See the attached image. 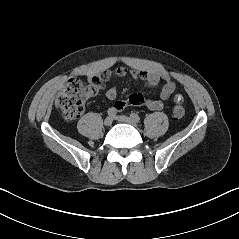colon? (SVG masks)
I'll list each match as a JSON object with an SVG mask.
<instances>
[{
  "label": "colon",
  "instance_id": "5ec220e1",
  "mask_svg": "<svg viewBox=\"0 0 239 239\" xmlns=\"http://www.w3.org/2000/svg\"><path fill=\"white\" fill-rule=\"evenodd\" d=\"M103 82L98 83L101 87ZM91 86L86 85L80 79L71 78L68 80L65 89L56 99V107L61 112L66 121L76 120L83 112L84 102L90 95ZM185 114L183 97L178 95L175 99L173 115L176 119H181Z\"/></svg>",
  "mask_w": 239,
  "mask_h": 239
}]
</instances>
